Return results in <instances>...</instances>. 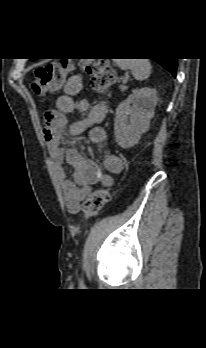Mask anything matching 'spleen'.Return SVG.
<instances>
[{
  "label": "spleen",
  "mask_w": 206,
  "mask_h": 348,
  "mask_svg": "<svg viewBox=\"0 0 206 348\" xmlns=\"http://www.w3.org/2000/svg\"><path fill=\"white\" fill-rule=\"evenodd\" d=\"M115 63L122 70H131L137 80H145L151 74V63L148 59H116Z\"/></svg>",
  "instance_id": "3e777b00"
}]
</instances>
